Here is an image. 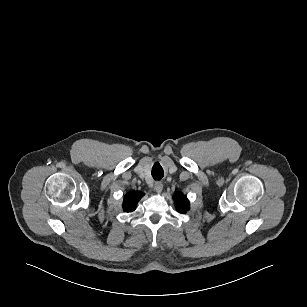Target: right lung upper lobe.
<instances>
[{"instance_id":"right-lung-upper-lobe-1","label":"right lung upper lobe","mask_w":307,"mask_h":307,"mask_svg":"<svg viewBox=\"0 0 307 307\" xmlns=\"http://www.w3.org/2000/svg\"><path fill=\"white\" fill-rule=\"evenodd\" d=\"M143 193L139 191L128 192L124 197L123 209L124 211H134L138 201L143 197Z\"/></svg>"}]
</instances>
